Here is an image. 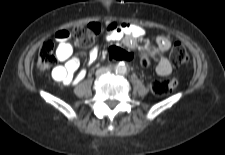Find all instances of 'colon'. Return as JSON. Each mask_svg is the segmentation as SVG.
<instances>
[{
  "mask_svg": "<svg viewBox=\"0 0 225 155\" xmlns=\"http://www.w3.org/2000/svg\"><path fill=\"white\" fill-rule=\"evenodd\" d=\"M102 27L97 22H90L84 25L74 27L71 31V38H73L76 44L80 47L90 46L95 37L100 34ZM154 52V48L150 44H146L143 49L138 53L139 65L143 69H151L153 67V60L150 58ZM108 55L112 59L122 60L130 62L134 59L135 54L132 50L127 49L125 51L119 49L117 46L112 45L107 50ZM188 53L185 47L180 42H175L171 49V59L174 65L179 66L188 61ZM56 63L55 44L53 41L48 40L42 44L39 49L37 58V69L40 72L49 70ZM177 79H161L156 80L151 84V90L153 93L159 96H164L172 92L177 86Z\"/></svg>",
  "mask_w": 225,
  "mask_h": 155,
  "instance_id": "5ec220e1",
  "label": "colon"
}]
</instances>
